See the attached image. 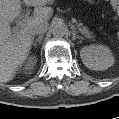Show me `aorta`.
I'll use <instances>...</instances> for the list:
<instances>
[{
  "mask_svg": "<svg viewBox=\"0 0 119 119\" xmlns=\"http://www.w3.org/2000/svg\"><path fill=\"white\" fill-rule=\"evenodd\" d=\"M50 29H51V33L55 37H63L68 33L67 26L61 21L52 22Z\"/></svg>",
  "mask_w": 119,
  "mask_h": 119,
  "instance_id": "aorta-1",
  "label": "aorta"
}]
</instances>
